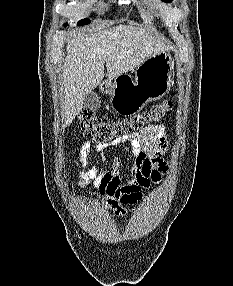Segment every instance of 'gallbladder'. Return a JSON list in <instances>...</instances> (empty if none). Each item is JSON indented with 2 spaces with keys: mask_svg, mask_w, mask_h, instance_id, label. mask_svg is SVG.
<instances>
[{
  "mask_svg": "<svg viewBox=\"0 0 233 286\" xmlns=\"http://www.w3.org/2000/svg\"><path fill=\"white\" fill-rule=\"evenodd\" d=\"M83 106L86 109L96 111L101 107V100L97 93L89 91L84 95Z\"/></svg>",
  "mask_w": 233,
  "mask_h": 286,
  "instance_id": "1",
  "label": "gallbladder"
}]
</instances>
